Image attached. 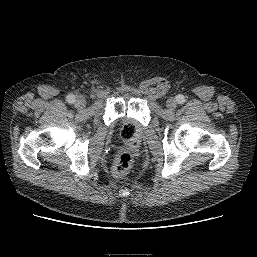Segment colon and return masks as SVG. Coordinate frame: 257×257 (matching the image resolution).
Instances as JSON below:
<instances>
[{
    "label": "colon",
    "instance_id": "colon-1",
    "mask_svg": "<svg viewBox=\"0 0 257 257\" xmlns=\"http://www.w3.org/2000/svg\"><path fill=\"white\" fill-rule=\"evenodd\" d=\"M121 136L127 141V145L118 151L114 161L113 172L118 176L125 174L131 168L136 157L135 124L133 122L123 123Z\"/></svg>",
    "mask_w": 257,
    "mask_h": 257
}]
</instances>
